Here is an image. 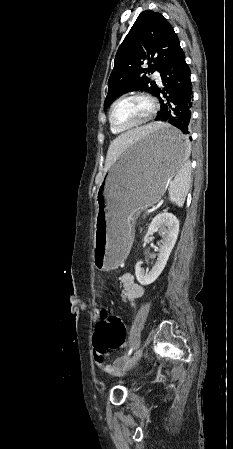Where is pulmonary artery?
I'll return each mask as SVG.
<instances>
[{"mask_svg":"<svg viewBox=\"0 0 233 449\" xmlns=\"http://www.w3.org/2000/svg\"><path fill=\"white\" fill-rule=\"evenodd\" d=\"M153 77L155 78V80L157 81L158 84H161V77H160V74L158 72H155L153 74Z\"/></svg>","mask_w":233,"mask_h":449,"instance_id":"e3ab8cb5","label":"pulmonary artery"}]
</instances>
